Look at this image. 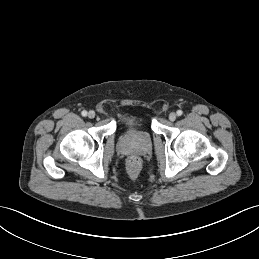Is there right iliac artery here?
I'll list each match as a JSON object with an SVG mask.
<instances>
[{
	"label": "right iliac artery",
	"mask_w": 259,
	"mask_h": 259,
	"mask_svg": "<svg viewBox=\"0 0 259 259\" xmlns=\"http://www.w3.org/2000/svg\"><path fill=\"white\" fill-rule=\"evenodd\" d=\"M81 114H82V116H84V117H85V116H87V111H85V110H84V111H82V113H81Z\"/></svg>",
	"instance_id": "82829eb1"
}]
</instances>
